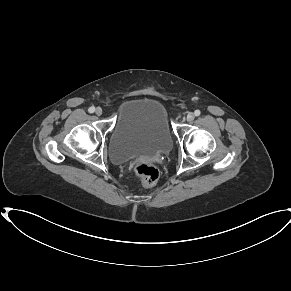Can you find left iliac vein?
Listing matches in <instances>:
<instances>
[{
  "instance_id": "1",
  "label": "left iliac vein",
  "mask_w": 291,
  "mask_h": 291,
  "mask_svg": "<svg viewBox=\"0 0 291 291\" xmlns=\"http://www.w3.org/2000/svg\"><path fill=\"white\" fill-rule=\"evenodd\" d=\"M194 114L193 113H188V115H187V121H189V122H191V121H193L194 120Z\"/></svg>"
}]
</instances>
